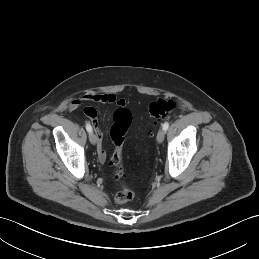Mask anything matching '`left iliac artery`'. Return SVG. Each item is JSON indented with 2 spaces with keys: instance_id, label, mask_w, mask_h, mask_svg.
<instances>
[{
  "instance_id": "44dca946",
  "label": "left iliac artery",
  "mask_w": 259,
  "mask_h": 259,
  "mask_svg": "<svg viewBox=\"0 0 259 259\" xmlns=\"http://www.w3.org/2000/svg\"><path fill=\"white\" fill-rule=\"evenodd\" d=\"M162 128L164 131H166L168 128H169V123L168 122H165L163 125H162Z\"/></svg>"
}]
</instances>
